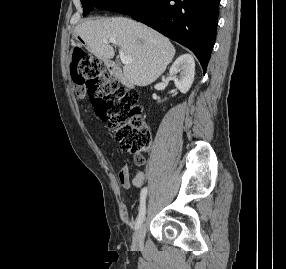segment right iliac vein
Returning <instances> with one entry per match:
<instances>
[{"mask_svg":"<svg viewBox=\"0 0 286 269\" xmlns=\"http://www.w3.org/2000/svg\"><path fill=\"white\" fill-rule=\"evenodd\" d=\"M145 226H141L133 236L132 246L134 249H141L144 243Z\"/></svg>","mask_w":286,"mask_h":269,"instance_id":"63e3f726","label":"right iliac vein"}]
</instances>
